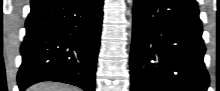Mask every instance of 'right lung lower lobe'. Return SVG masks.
Segmentation results:
<instances>
[{
    "label": "right lung lower lobe",
    "mask_w": 220,
    "mask_h": 91,
    "mask_svg": "<svg viewBox=\"0 0 220 91\" xmlns=\"http://www.w3.org/2000/svg\"><path fill=\"white\" fill-rule=\"evenodd\" d=\"M103 0H32L21 45L20 91L57 81L94 91Z\"/></svg>",
    "instance_id": "98d812e1"
}]
</instances>
